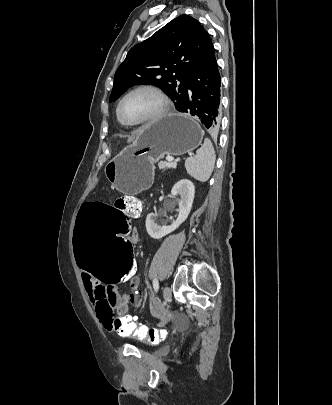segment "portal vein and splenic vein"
I'll return each mask as SVG.
<instances>
[{"instance_id": "portal-vein-and-splenic-vein-1", "label": "portal vein and splenic vein", "mask_w": 332, "mask_h": 405, "mask_svg": "<svg viewBox=\"0 0 332 405\" xmlns=\"http://www.w3.org/2000/svg\"><path fill=\"white\" fill-rule=\"evenodd\" d=\"M166 160L169 162V166L172 168H176L177 163L175 162L174 158L172 157H167Z\"/></svg>"}]
</instances>
